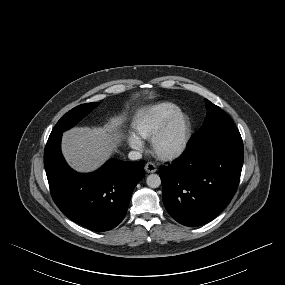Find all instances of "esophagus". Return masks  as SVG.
I'll return each instance as SVG.
<instances>
[{
    "label": "esophagus",
    "instance_id": "34e87169",
    "mask_svg": "<svg viewBox=\"0 0 285 285\" xmlns=\"http://www.w3.org/2000/svg\"><path fill=\"white\" fill-rule=\"evenodd\" d=\"M145 170L148 173H154L157 171V166L152 162H147L145 165Z\"/></svg>",
    "mask_w": 285,
    "mask_h": 285
}]
</instances>
